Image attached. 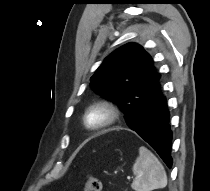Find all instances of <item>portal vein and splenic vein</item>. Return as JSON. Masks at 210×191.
<instances>
[{
	"label": "portal vein and splenic vein",
	"instance_id": "obj_1",
	"mask_svg": "<svg viewBox=\"0 0 210 191\" xmlns=\"http://www.w3.org/2000/svg\"><path fill=\"white\" fill-rule=\"evenodd\" d=\"M131 178H132V177H130V176H127V179H128V180H130Z\"/></svg>",
	"mask_w": 210,
	"mask_h": 191
}]
</instances>
